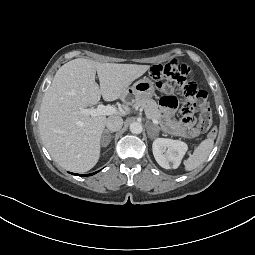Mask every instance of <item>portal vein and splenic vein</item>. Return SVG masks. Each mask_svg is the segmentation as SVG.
<instances>
[{
  "instance_id": "obj_1",
  "label": "portal vein and splenic vein",
  "mask_w": 255,
  "mask_h": 255,
  "mask_svg": "<svg viewBox=\"0 0 255 255\" xmlns=\"http://www.w3.org/2000/svg\"><path fill=\"white\" fill-rule=\"evenodd\" d=\"M81 113H84V114H89L93 117L95 116H98V115H112V114H115L117 112V108L114 107V106H110V105H103V104H100L98 105L97 108H91V109H82L80 110ZM152 122L155 124V125H158V120L157 119H152Z\"/></svg>"
}]
</instances>
